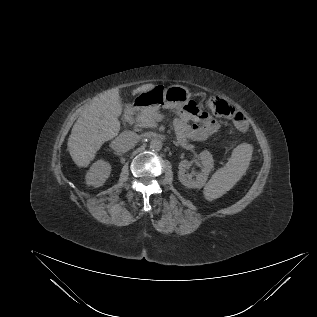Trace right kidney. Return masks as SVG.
I'll return each instance as SVG.
<instances>
[{"mask_svg":"<svg viewBox=\"0 0 317 317\" xmlns=\"http://www.w3.org/2000/svg\"><path fill=\"white\" fill-rule=\"evenodd\" d=\"M111 172V166L104 160L96 161L86 174V184L94 187L102 186Z\"/></svg>","mask_w":317,"mask_h":317,"instance_id":"right-kidney-1","label":"right kidney"}]
</instances>
